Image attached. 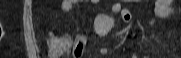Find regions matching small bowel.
<instances>
[{
	"mask_svg": "<svg viewBox=\"0 0 181 58\" xmlns=\"http://www.w3.org/2000/svg\"><path fill=\"white\" fill-rule=\"evenodd\" d=\"M92 1L96 2L95 0ZM79 3V0H64L61 4V10L63 12L73 11L77 8ZM112 11L114 13L120 14L123 20H130V13L128 12V10L122 8L119 3H114L112 5ZM155 12L157 16L164 19H173L175 17L174 13L170 9V0H157L155 3ZM153 23L154 21L151 20L148 24V27H151ZM49 37L53 41V49L58 53L67 50L70 46L69 41L66 38L56 37L53 30L49 32ZM100 53L102 55H105L107 53V49L101 48Z\"/></svg>",
	"mask_w": 181,
	"mask_h": 58,
	"instance_id": "small-bowel-1",
	"label": "small bowel"
}]
</instances>
